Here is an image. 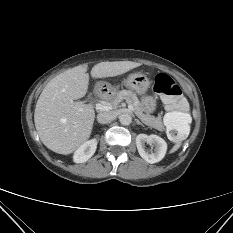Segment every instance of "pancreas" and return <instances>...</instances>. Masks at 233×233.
I'll return each mask as SVG.
<instances>
[{
    "label": "pancreas",
    "instance_id": "cf45deb5",
    "mask_svg": "<svg viewBox=\"0 0 233 233\" xmlns=\"http://www.w3.org/2000/svg\"><path fill=\"white\" fill-rule=\"evenodd\" d=\"M123 99H125L128 104H131L133 106L134 113L138 116L139 119H141L144 124L153 127L159 131L165 130L161 118L143 113L140 101L138 100L136 94L131 92L130 90H121L113 95V97L109 100L114 106H116Z\"/></svg>",
    "mask_w": 233,
    "mask_h": 233
}]
</instances>
